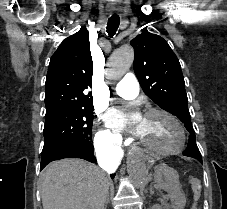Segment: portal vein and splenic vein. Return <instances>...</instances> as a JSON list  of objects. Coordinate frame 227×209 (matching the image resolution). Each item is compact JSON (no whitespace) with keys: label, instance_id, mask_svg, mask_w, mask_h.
<instances>
[{"label":"portal vein and splenic vein","instance_id":"portal-vein-and-splenic-vein-1","mask_svg":"<svg viewBox=\"0 0 227 209\" xmlns=\"http://www.w3.org/2000/svg\"><path fill=\"white\" fill-rule=\"evenodd\" d=\"M168 196H169L168 194H163L161 197H162L163 199H166Z\"/></svg>","mask_w":227,"mask_h":209}]
</instances>
